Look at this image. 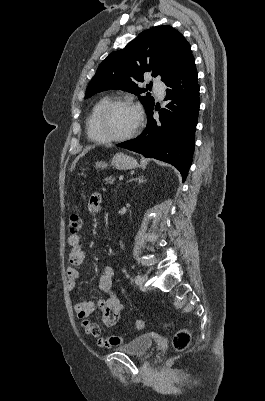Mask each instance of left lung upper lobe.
<instances>
[{
	"instance_id": "obj_1",
	"label": "left lung upper lobe",
	"mask_w": 265,
	"mask_h": 401,
	"mask_svg": "<svg viewBox=\"0 0 265 401\" xmlns=\"http://www.w3.org/2000/svg\"><path fill=\"white\" fill-rule=\"evenodd\" d=\"M190 56V44L173 27L162 25L145 30L124 49L111 53L101 63L87 87L85 98L108 89L123 90L139 96L148 111L154 106V99L140 96L147 91L137 85L143 81V74L148 72L153 77L160 76L166 83Z\"/></svg>"
}]
</instances>
